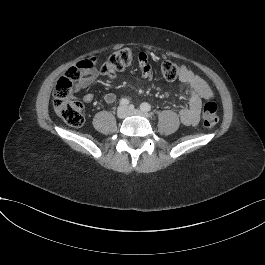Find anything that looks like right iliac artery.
<instances>
[{"label": "right iliac artery", "instance_id": "right-iliac-artery-1", "mask_svg": "<svg viewBox=\"0 0 265 265\" xmlns=\"http://www.w3.org/2000/svg\"><path fill=\"white\" fill-rule=\"evenodd\" d=\"M120 106H123V107H126L129 105V100L128 99H121L120 102H119ZM129 107L133 108V105H130Z\"/></svg>", "mask_w": 265, "mask_h": 265}]
</instances>
